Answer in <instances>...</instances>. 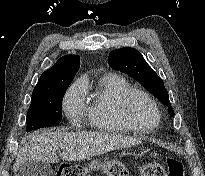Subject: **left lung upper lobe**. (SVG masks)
<instances>
[{"instance_id": "1", "label": "left lung upper lobe", "mask_w": 205, "mask_h": 176, "mask_svg": "<svg viewBox=\"0 0 205 176\" xmlns=\"http://www.w3.org/2000/svg\"><path fill=\"white\" fill-rule=\"evenodd\" d=\"M109 65L138 80L158 100L168 106L169 114L174 117V111L170 106L168 92L162 79L149 66L143 56L134 48L125 47L113 50L108 57Z\"/></svg>"}]
</instances>
